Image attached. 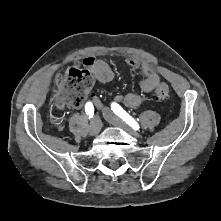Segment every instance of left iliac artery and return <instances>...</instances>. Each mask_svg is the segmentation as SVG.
Instances as JSON below:
<instances>
[{
  "label": "left iliac artery",
  "instance_id": "1",
  "mask_svg": "<svg viewBox=\"0 0 221 221\" xmlns=\"http://www.w3.org/2000/svg\"><path fill=\"white\" fill-rule=\"evenodd\" d=\"M111 109L113 112L119 116L123 121H125L130 127L134 130H138L140 128L138 122L130 116L119 104L113 102L111 104Z\"/></svg>",
  "mask_w": 221,
  "mask_h": 221
}]
</instances>
